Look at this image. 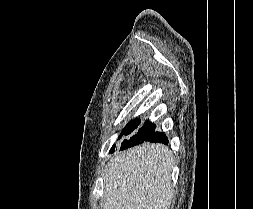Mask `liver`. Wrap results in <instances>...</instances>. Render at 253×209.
Returning <instances> with one entry per match:
<instances>
[{
  "instance_id": "obj_1",
  "label": "liver",
  "mask_w": 253,
  "mask_h": 209,
  "mask_svg": "<svg viewBox=\"0 0 253 209\" xmlns=\"http://www.w3.org/2000/svg\"><path fill=\"white\" fill-rule=\"evenodd\" d=\"M173 157L162 144L120 152L104 171L103 209H169Z\"/></svg>"
}]
</instances>
